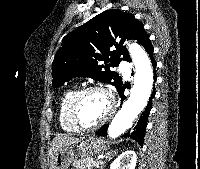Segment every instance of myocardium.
I'll return each instance as SVG.
<instances>
[{
  "label": "myocardium",
  "mask_w": 200,
  "mask_h": 169,
  "mask_svg": "<svg viewBox=\"0 0 200 169\" xmlns=\"http://www.w3.org/2000/svg\"><path fill=\"white\" fill-rule=\"evenodd\" d=\"M93 91H97V92H101L102 94H104L108 100V110L106 112V114L104 115V117L96 124L92 125V126H83L78 118V105L81 101V99L89 92H93ZM116 109V101L114 98V95L112 94V92L107 89L104 86L101 85H89L86 86L84 88H82L81 90H79L75 96L73 97L71 104H70V118L73 122V124L75 125V127L79 130V131H83V132H90V131H94L98 128H100L101 126H103L114 114Z\"/></svg>",
  "instance_id": "myocardium-1"
}]
</instances>
